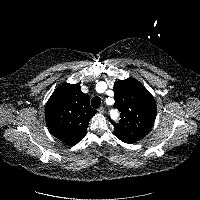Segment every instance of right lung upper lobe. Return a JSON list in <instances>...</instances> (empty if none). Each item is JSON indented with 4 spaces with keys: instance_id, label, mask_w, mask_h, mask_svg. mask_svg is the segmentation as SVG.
Masks as SVG:
<instances>
[{
    "instance_id": "cb5924a9",
    "label": "right lung upper lobe",
    "mask_w": 200,
    "mask_h": 200,
    "mask_svg": "<svg viewBox=\"0 0 200 200\" xmlns=\"http://www.w3.org/2000/svg\"><path fill=\"white\" fill-rule=\"evenodd\" d=\"M95 113L96 110L90 107L89 95L81 92L80 83L58 87L45 108L50 133L70 146L83 139L89 120Z\"/></svg>"
}]
</instances>
